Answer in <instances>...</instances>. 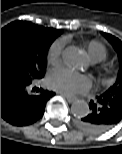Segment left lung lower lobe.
Here are the masks:
<instances>
[{
    "mask_svg": "<svg viewBox=\"0 0 122 154\" xmlns=\"http://www.w3.org/2000/svg\"><path fill=\"white\" fill-rule=\"evenodd\" d=\"M89 108V113L77 121L78 127L86 132L102 133L122 120V103L110 94L91 100Z\"/></svg>",
    "mask_w": 122,
    "mask_h": 154,
    "instance_id": "1",
    "label": "left lung lower lobe"
}]
</instances>
